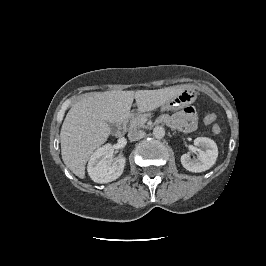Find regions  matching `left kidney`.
<instances>
[{
  "mask_svg": "<svg viewBox=\"0 0 266 266\" xmlns=\"http://www.w3.org/2000/svg\"><path fill=\"white\" fill-rule=\"evenodd\" d=\"M194 145L200 147L197 159H191L189 154L181 156V164L191 172L199 173L211 168L218 157V148L216 143L207 137H198L194 140Z\"/></svg>",
  "mask_w": 266,
  "mask_h": 266,
  "instance_id": "5707ae66",
  "label": "left kidney"
}]
</instances>
